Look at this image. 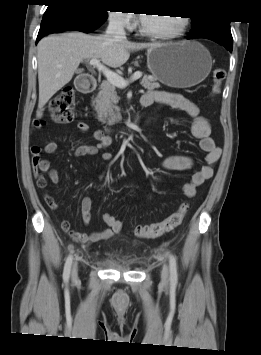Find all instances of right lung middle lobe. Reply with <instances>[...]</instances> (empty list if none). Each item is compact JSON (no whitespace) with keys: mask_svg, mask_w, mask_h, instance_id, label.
Here are the masks:
<instances>
[{"mask_svg":"<svg viewBox=\"0 0 261 355\" xmlns=\"http://www.w3.org/2000/svg\"><path fill=\"white\" fill-rule=\"evenodd\" d=\"M61 4H69L72 6H76L80 10L90 14L96 18H103L107 19V12L103 8L99 7L94 0H83L79 2H72V3H61Z\"/></svg>","mask_w":261,"mask_h":355,"instance_id":"dd1d6c3e","label":"right lung middle lobe"}]
</instances>
